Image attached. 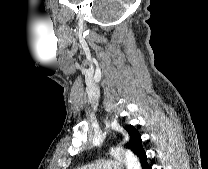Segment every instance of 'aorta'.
I'll list each match as a JSON object with an SVG mask.
<instances>
[{
	"mask_svg": "<svg viewBox=\"0 0 208 169\" xmlns=\"http://www.w3.org/2000/svg\"><path fill=\"white\" fill-rule=\"evenodd\" d=\"M110 155L125 163L127 169H141L138 158L129 150H124L120 147L112 148Z\"/></svg>",
	"mask_w": 208,
	"mask_h": 169,
	"instance_id": "obj_1",
	"label": "aorta"
}]
</instances>
